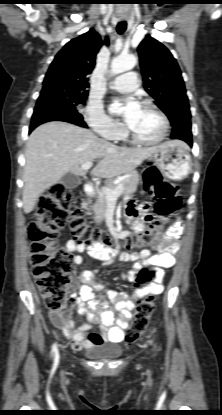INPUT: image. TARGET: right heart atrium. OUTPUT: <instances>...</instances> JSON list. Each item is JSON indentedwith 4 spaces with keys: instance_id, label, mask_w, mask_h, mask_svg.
Instances as JSON below:
<instances>
[{
    "instance_id": "d8ad5b80",
    "label": "right heart atrium",
    "mask_w": 222,
    "mask_h": 415,
    "mask_svg": "<svg viewBox=\"0 0 222 415\" xmlns=\"http://www.w3.org/2000/svg\"><path fill=\"white\" fill-rule=\"evenodd\" d=\"M84 119L97 135L107 140H116L121 135V127L103 111L101 106L95 103L87 105Z\"/></svg>"
}]
</instances>
